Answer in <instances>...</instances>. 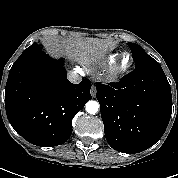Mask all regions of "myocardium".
Here are the masks:
<instances>
[{
    "label": "myocardium",
    "instance_id": "obj_1",
    "mask_svg": "<svg viewBox=\"0 0 178 178\" xmlns=\"http://www.w3.org/2000/svg\"><path fill=\"white\" fill-rule=\"evenodd\" d=\"M128 55L130 58V62L128 65H123V57ZM134 59L132 55L128 52L121 53L117 60L113 63L111 68L107 72V77L109 80L115 81L125 76L133 67Z\"/></svg>",
    "mask_w": 178,
    "mask_h": 178
}]
</instances>
